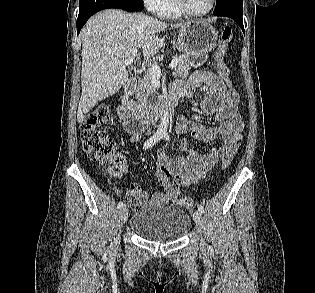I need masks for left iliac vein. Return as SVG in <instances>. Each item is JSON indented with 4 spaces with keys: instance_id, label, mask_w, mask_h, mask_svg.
<instances>
[{
    "instance_id": "1",
    "label": "left iliac vein",
    "mask_w": 315,
    "mask_h": 293,
    "mask_svg": "<svg viewBox=\"0 0 315 293\" xmlns=\"http://www.w3.org/2000/svg\"><path fill=\"white\" fill-rule=\"evenodd\" d=\"M193 218H194V221H195V224H196L198 230L201 231L202 225H203L202 213L200 211H195L194 214H193ZM201 246L202 247L204 246V242L203 241H201Z\"/></svg>"
}]
</instances>
